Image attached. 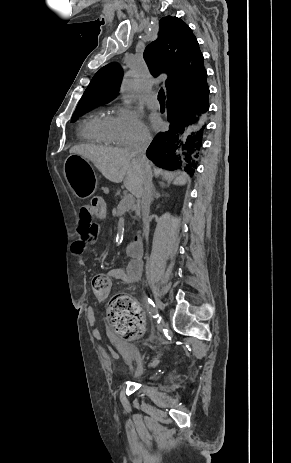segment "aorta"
Returning a JSON list of instances; mask_svg holds the SVG:
<instances>
[{
    "label": "aorta",
    "mask_w": 291,
    "mask_h": 463,
    "mask_svg": "<svg viewBox=\"0 0 291 463\" xmlns=\"http://www.w3.org/2000/svg\"><path fill=\"white\" fill-rule=\"evenodd\" d=\"M136 89L137 78L132 72H129L121 85V94L124 104L130 105L134 101Z\"/></svg>",
    "instance_id": "aorta-1"
}]
</instances>
